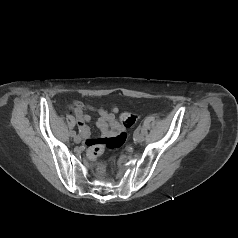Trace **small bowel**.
I'll return each mask as SVG.
<instances>
[{"label": "small bowel", "mask_w": 238, "mask_h": 238, "mask_svg": "<svg viewBox=\"0 0 238 238\" xmlns=\"http://www.w3.org/2000/svg\"><path fill=\"white\" fill-rule=\"evenodd\" d=\"M69 107L77 118L79 131L85 139L86 145L90 148L98 144L101 140L120 135L121 130H125L128 127L122 126L116 118V114L118 113V108L116 106H113L112 111L108 112L102 107L96 109L95 107L80 101H73ZM87 110H97L99 115L97 127L103 136L102 139H95L90 136V128L87 123L91 120V116L87 113Z\"/></svg>", "instance_id": "c3829d8e"}]
</instances>
